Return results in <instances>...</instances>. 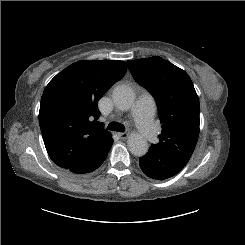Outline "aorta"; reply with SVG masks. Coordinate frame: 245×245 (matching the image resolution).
<instances>
[{
    "mask_svg": "<svg viewBox=\"0 0 245 245\" xmlns=\"http://www.w3.org/2000/svg\"><path fill=\"white\" fill-rule=\"evenodd\" d=\"M115 105L121 110H128L134 103L135 94L132 88L121 85L113 91ZM130 152L135 156H143L147 153L149 146L147 140L138 133H131L128 137Z\"/></svg>",
    "mask_w": 245,
    "mask_h": 245,
    "instance_id": "aorta-1",
    "label": "aorta"
}]
</instances>
